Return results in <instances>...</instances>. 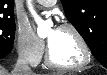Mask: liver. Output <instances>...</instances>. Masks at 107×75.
Wrapping results in <instances>:
<instances>
[{
  "label": "liver",
  "instance_id": "1",
  "mask_svg": "<svg viewBox=\"0 0 107 75\" xmlns=\"http://www.w3.org/2000/svg\"><path fill=\"white\" fill-rule=\"evenodd\" d=\"M0 75H9V74H8L7 70H5L3 67H1ZM11 75H13V74H11Z\"/></svg>",
  "mask_w": 107,
  "mask_h": 75
}]
</instances>
